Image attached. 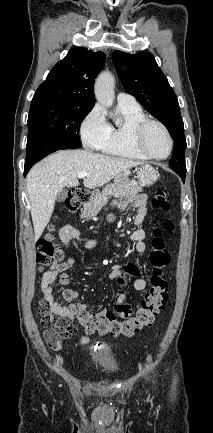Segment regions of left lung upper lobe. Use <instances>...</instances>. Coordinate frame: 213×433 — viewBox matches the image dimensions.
Here are the masks:
<instances>
[{"mask_svg":"<svg viewBox=\"0 0 213 433\" xmlns=\"http://www.w3.org/2000/svg\"><path fill=\"white\" fill-rule=\"evenodd\" d=\"M112 58L126 92L161 121L172 136L174 151L170 167L176 173H186V139L179 103L154 56L145 52L127 54L115 51Z\"/></svg>","mask_w":213,"mask_h":433,"instance_id":"5c2ea615","label":"left lung upper lobe"}]
</instances>
